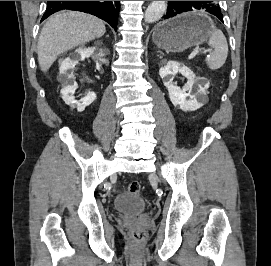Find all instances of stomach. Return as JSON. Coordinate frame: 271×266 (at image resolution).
<instances>
[{
    "label": "stomach",
    "instance_id": "stomach-1",
    "mask_svg": "<svg viewBox=\"0 0 271 266\" xmlns=\"http://www.w3.org/2000/svg\"><path fill=\"white\" fill-rule=\"evenodd\" d=\"M214 24L202 12H190L164 21L154 28L153 42L167 52H180L205 42Z\"/></svg>",
    "mask_w": 271,
    "mask_h": 266
}]
</instances>
